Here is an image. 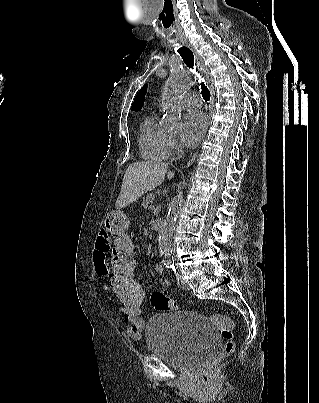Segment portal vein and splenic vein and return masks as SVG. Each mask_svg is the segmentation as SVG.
<instances>
[{
    "label": "portal vein and splenic vein",
    "instance_id": "1",
    "mask_svg": "<svg viewBox=\"0 0 319 403\" xmlns=\"http://www.w3.org/2000/svg\"><path fill=\"white\" fill-rule=\"evenodd\" d=\"M154 208H155V206H154V205H151V206H150V209H152V210H153Z\"/></svg>",
    "mask_w": 319,
    "mask_h": 403
}]
</instances>
